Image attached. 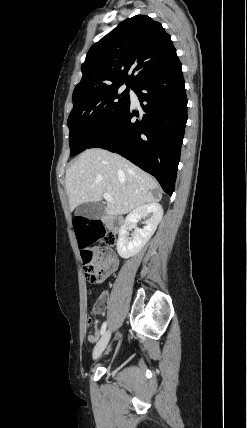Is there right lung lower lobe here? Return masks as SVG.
<instances>
[{
    "label": "right lung lower lobe",
    "instance_id": "obj_1",
    "mask_svg": "<svg viewBox=\"0 0 247 428\" xmlns=\"http://www.w3.org/2000/svg\"><path fill=\"white\" fill-rule=\"evenodd\" d=\"M133 90L142 111L133 110L129 103L89 148L122 155L153 175L172 195L187 121V97L178 57Z\"/></svg>",
    "mask_w": 247,
    "mask_h": 428
}]
</instances>
